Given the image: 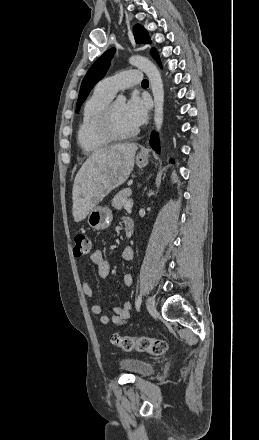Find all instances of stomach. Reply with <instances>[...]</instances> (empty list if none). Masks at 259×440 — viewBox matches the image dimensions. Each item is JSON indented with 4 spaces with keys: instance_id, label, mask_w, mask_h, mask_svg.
<instances>
[{
    "instance_id": "0dacf381",
    "label": "stomach",
    "mask_w": 259,
    "mask_h": 440,
    "mask_svg": "<svg viewBox=\"0 0 259 440\" xmlns=\"http://www.w3.org/2000/svg\"><path fill=\"white\" fill-rule=\"evenodd\" d=\"M147 164V157H136L139 168H144ZM112 220V211L108 207L95 206L88 214L87 223L94 230H104L110 226Z\"/></svg>"
}]
</instances>
